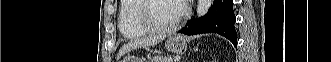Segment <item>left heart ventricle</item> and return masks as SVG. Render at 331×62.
<instances>
[{
  "label": "left heart ventricle",
  "mask_w": 331,
  "mask_h": 62,
  "mask_svg": "<svg viewBox=\"0 0 331 62\" xmlns=\"http://www.w3.org/2000/svg\"><path fill=\"white\" fill-rule=\"evenodd\" d=\"M179 14V5L172 0H153L148 9L149 17L158 25L171 24Z\"/></svg>",
  "instance_id": "obj_1"
}]
</instances>
